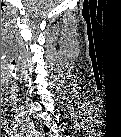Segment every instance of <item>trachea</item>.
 Instances as JSON below:
<instances>
[{"instance_id": "3493384b", "label": "trachea", "mask_w": 121, "mask_h": 137, "mask_svg": "<svg viewBox=\"0 0 121 137\" xmlns=\"http://www.w3.org/2000/svg\"><path fill=\"white\" fill-rule=\"evenodd\" d=\"M4 14H5L6 19L9 20L7 10L4 11Z\"/></svg>"}]
</instances>
